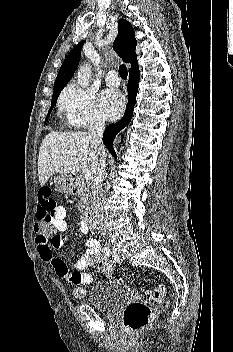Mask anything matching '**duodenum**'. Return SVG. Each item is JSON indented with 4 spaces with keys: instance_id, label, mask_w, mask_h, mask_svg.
Segmentation results:
<instances>
[{
    "instance_id": "410a0bca",
    "label": "duodenum",
    "mask_w": 233,
    "mask_h": 352,
    "mask_svg": "<svg viewBox=\"0 0 233 352\" xmlns=\"http://www.w3.org/2000/svg\"><path fill=\"white\" fill-rule=\"evenodd\" d=\"M84 222L90 229L96 228L94 212L92 209H87L84 213Z\"/></svg>"
}]
</instances>
